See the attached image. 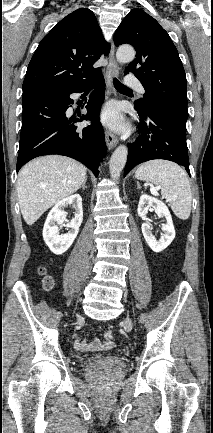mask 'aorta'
Here are the masks:
<instances>
[{
    "label": "aorta",
    "mask_w": 213,
    "mask_h": 433,
    "mask_svg": "<svg viewBox=\"0 0 213 433\" xmlns=\"http://www.w3.org/2000/svg\"><path fill=\"white\" fill-rule=\"evenodd\" d=\"M134 57L135 50L128 45L120 46L116 52V59L119 63H128L132 61ZM127 155L128 149L125 145H120L113 152L109 164L112 179L117 180L120 177L127 161Z\"/></svg>",
    "instance_id": "obj_1"
}]
</instances>
